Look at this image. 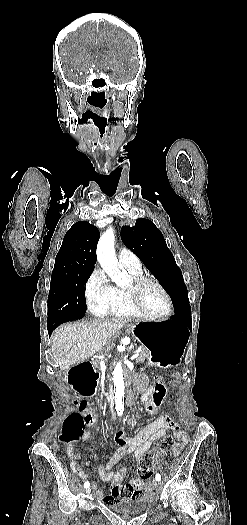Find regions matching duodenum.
<instances>
[{
    "label": "duodenum",
    "mask_w": 247,
    "mask_h": 525,
    "mask_svg": "<svg viewBox=\"0 0 247 525\" xmlns=\"http://www.w3.org/2000/svg\"><path fill=\"white\" fill-rule=\"evenodd\" d=\"M99 373L92 361H82L75 365L67 375L69 385L83 396H92L95 394ZM114 403V392L109 391L106 397V404L110 408Z\"/></svg>",
    "instance_id": "duodenum-1"
}]
</instances>
